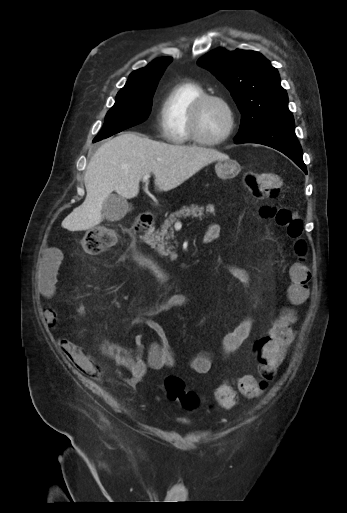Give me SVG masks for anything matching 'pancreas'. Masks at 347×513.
<instances>
[{
    "label": "pancreas",
    "mask_w": 347,
    "mask_h": 513,
    "mask_svg": "<svg viewBox=\"0 0 347 513\" xmlns=\"http://www.w3.org/2000/svg\"><path fill=\"white\" fill-rule=\"evenodd\" d=\"M205 208L197 204H191L190 206H183L181 209L172 212L163 221L161 229L157 230L154 234L153 245L157 246V250L160 255L168 256L173 255L171 252L172 247L169 245L168 240L174 238L173 224L179 221L180 218H202L204 216ZM206 211L214 214V205L208 204Z\"/></svg>",
    "instance_id": "obj_1"
}]
</instances>
